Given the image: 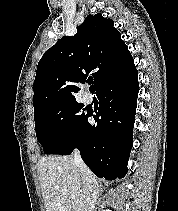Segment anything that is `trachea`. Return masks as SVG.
Here are the masks:
<instances>
[{"label":"trachea","mask_w":178,"mask_h":211,"mask_svg":"<svg viewBox=\"0 0 178 211\" xmlns=\"http://www.w3.org/2000/svg\"><path fill=\"white\" fill-rule=\"evenodd\" d=\"M93 82V79H89V84H91Z\"/></svg>","instance_id":"trachea-1"}]
</instances>
